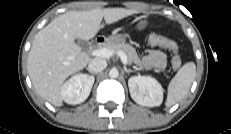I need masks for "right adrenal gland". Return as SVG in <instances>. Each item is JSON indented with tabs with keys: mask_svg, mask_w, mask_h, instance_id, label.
Here are the masks:
<instances>
[{
	"mask_svg": "<svg viewBox=\"0 0 231 134\" xmlns=\"http://www.w3.org/2000/svg\"><path fill=\"white\" fill-rule=\"evenodd\" d=\"M89 71V70H88ZM90 72V71H89ZM91 73V72H90ZM92 75H96V74H94V73H91Z\"/></svg>",
	"mask_w": 231,
	"mask_h": 134,
	"instance_id": "2a0ac1e0",
	"label": "right adrenal gland"
}]
</instances>
